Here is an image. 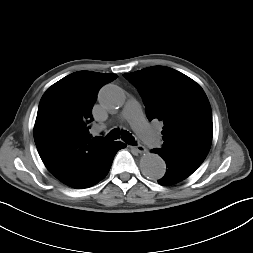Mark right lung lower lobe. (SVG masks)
Listing matches in <instances>:
<instances>
[{
  "mask_svg": "<svg viewBox=\"0 0 253 253\" xmlns=\"http://www.w3.org/2000/svg\"><path fill=\"white\" fill-rule=\"evenodd\" d=\"M126 145L120 141L117 142H110L107 144V146L103 149V152L101 154V171L98 175V177L95 179L93 183L86 187H90L92 185H95L97 182L102 180L109 172L113 158L118 150L125 148ZM84 187V188H86Z\"/></svg>",
  "mask_w": 253,
  "mask_h": 253,
  "instance_id": "1",
  "label": "right lung lower lobe"
}]
</instances>
